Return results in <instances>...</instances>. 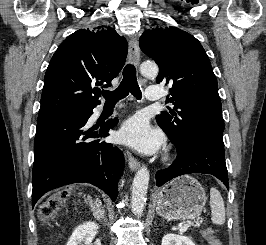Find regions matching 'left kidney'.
I'll return each instance as SVG.
<instances>
[{"mask_svg": "<svg viewBox=\"0 0 266 245\" xmlns=\"http://www.w3.org/2000/svg\"><path fill=\"white\" fill-rule=\"evenodd\" d=\"M161 245H195L190 237H183V235H164Z\"/></svg>", "mask_w": 266, "mask_h": 245, "instance_id": "left-kidney-1", "label": "left kidney"}]
</instances>
